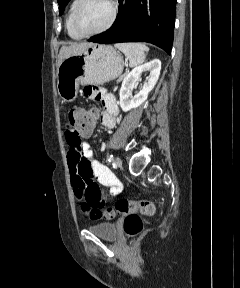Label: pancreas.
Masks as SVG:
<instances>
[{
	"instance_id": "pancreas-1",
	"label": "pancreas",
	"mask_w": 240,
	"mask_h": 288,
	"mask_svg": "<svg viewBox=\"0 0 240 288\" xmlns=\"http://www.w3.org/2000/svg\"><path fill=\"white\" fill-rule=\"evenodd\" d=\"M125 75H122L119 77L118 81H121L124 78Z\"/></svg>"
}]
</instances>
